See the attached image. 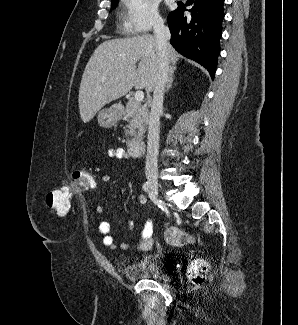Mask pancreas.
<instances>
[{"instance_id":"1","label":"pancreas","mask_w":298,"mask_h":325,"mask_svg":"<svg viewBox=\"0 0 298 325\" xmlns=\"http://www.w3.org/2000/svg\"><path fill=\"white\" fill-rule=\"evenodd\" d=\"M148 106L135 102L134 98H129L126 102L125 114L123 120H127L125 134L127 144H131L135 138H141L145 132V126L148 124Z\"/></svg>"}]
</instances>
